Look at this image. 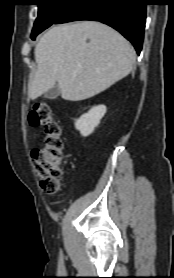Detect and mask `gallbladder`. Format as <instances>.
Returning <instances> with one entry per match:
<instances>
[{"label":"gallbladder","mask_w":174,"mask_h":278,"mask_svg":"<svg viewBox=\"0 0 174 278\" xmlns=\"http://www.w3.org/2000/svg\"><path fill=\"white\" fill-rule=\"evenodd\" d=\"M60 94V91L57 86H54L50 90H48L45 94L44 97L48 99H56Z\"/></svg>","instance_id":"obj_1"}]
</instances>
